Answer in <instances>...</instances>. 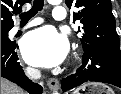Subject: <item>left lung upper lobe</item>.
<instances>
[{
    "label": "left lung upper lobe",
    "instance_id": "obj_1",
    "mask_svg": "<svg viewBox=\"0 0 121 94\" xmlns=\"http://www.w3.org/2000/svg\"><path fill=\"white\" fill-rule=\"evenodd\" d=\"M65 3L69 8H79L73 13V21L79 20L82 24L78 31L84 32L81 39L84 51L96 48L120 50L110 0H66Z\"/></svg>",
    "mask_w": 121,
    "mask_h": 94
}]
</instances>
